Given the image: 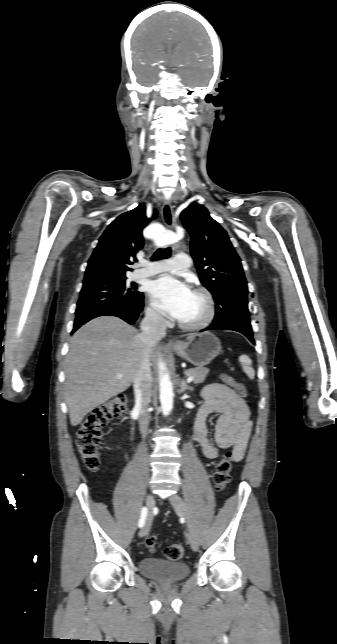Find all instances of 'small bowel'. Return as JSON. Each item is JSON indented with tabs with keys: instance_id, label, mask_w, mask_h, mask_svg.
<instances>
[{
	"instance_id": "c3829d8e",
	"label": "small bowel",
	"mask_w": 337,
	"mask_h": 644,
	"mask_svg": "<svg viewBox=\"0 0 337 644\" xmlns=\"http://www.w3.org/2000/svg\"><path fill=\"white\" fill-rule=\"evenodd\" d=\"M202 398L204 402L197 413L193 438L201 446L204 456L215 460L219 449L232 448L233 461L242 460L252 431L246 402L232 389L217 383L206 386ZM214 413L218 418L211 437L206 421Z\"/></svg>"
}]
</instances>
